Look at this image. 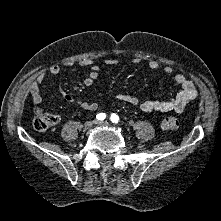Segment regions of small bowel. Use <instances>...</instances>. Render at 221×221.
Returning a JSON list of instances; mask_svg holds the SVG:
<instances>
[{
  "label": "small bowel",
  "instance_id": "c3829d8e",
  "mask_svg": "<svg viewBox=\"0 0 221 221\" xmlns=\"http://www.w3.org/2000/svg\"><path fill=\"white\" fill-rule=\"evenodd\" d=\"M135 63H139L140 60L135 58L133 60ZM106 65H116L118 63L115 59H106L104 61ZM71 63H68L70 65ZM79 66L86 67L89 69V73L87 77L83 81V85L85 87L92 86L98 79L99 76V66L94 62V60L90 58H82L78 61ZM148 67L153 70L157 71L162 69L165 75L173 74V69L170 66H162L156 60H150L148 62ZM49 73L51 75H58L60 73V67L58 65H52L49 68ZM173 79L175 83L180 87L179 93L172 99H165V100H141L136 96L127 94V93H120L117 95V100L129 104L131 106H135L140 108L144 112H151V111H159V112H182L186 105L194 100L197 96V92L195 86L192 81L186 78L184 74L175 73L173 75ZM45 81V74H39L36 80L29 86L28 92L31 96L32 102L39 106L41 105L43 99L40 93V87L43 85ZM58 93L62 98L65 100L77 103L81 108L89 111H95L98 109V105L95 102H88L83 99H79L69 92H67L61 83H57ZM58 121L61 119L60 115H56Z\"/></svg>",
  "mask_w": 221,
  "mask_h": 221
}]
</instances>
